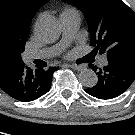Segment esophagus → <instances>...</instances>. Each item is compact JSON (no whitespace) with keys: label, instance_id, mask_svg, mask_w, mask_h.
<instances>
[{"label":"esophagus","instance_id":"obj_1","mask_svg":"<svg viewBox=\"0 0 135 135\" xmlns=\"http://www.w3.org/2000/svg\"><path fill=\"white\" fill-rule=\"evenodd\" d=\"M69 67H71L74 70L81 71V70H83L85 68V65H82V64H72V65H69Z\"/></svg>","mask_w":135,"mask_h":135}]
</instances>
